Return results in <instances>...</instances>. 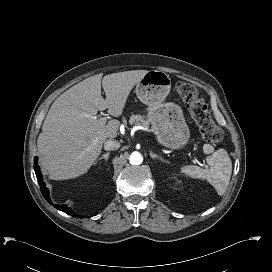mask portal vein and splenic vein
<instances>
[{"label": "portal vein and splenic vein", "mask_w": 272, "mask_h": 272, "mask_svg": "<svg viewBox=\"0 0 272 272\" xmlns=\"http://www.w3.org/2000/svg\"><path fill=\"white\" fill-rule=\"evenodd\" d=\"M107 119H108V117L104 116V117H101V118L99 119V121H100L101 124H105L106 121H107ZM193 162H194V163L200 164V162H199L196 158L193 159Z\"/></svg>", "instance_id": "1"}]
</instances>
